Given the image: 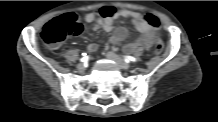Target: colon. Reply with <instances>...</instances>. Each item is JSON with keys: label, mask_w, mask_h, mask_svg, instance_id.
Masks as SVG:
<instances>
[{"label": "colon", "mask_w": 218, "mask_h": 122, "mask_svg": "<svg viewBox=\"0 0 218 122\" xmlns=\"http://www.w3.org/2000/svg\"><path fill=\"white\" fill-rule=\"evenodd\" d=\"M146 19L154 27H159V19L153 15H146ZM83 31V25L78 16L74 13H67L55 17L50 20L43 28L42 38L43 41L50 48H56L59 44L69 36H77ZM163 45L160 40H157L154 45L156 53L162 51Z\"/></svg>", "instance_id": "colon-1"}]
</instances>
